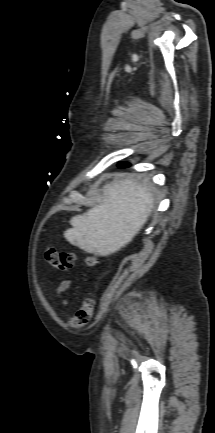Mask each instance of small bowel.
Returning <instances> with one entry per match:
<instances>
[{"instance_id":"small-bowel-1","label":"small bowel","mask_w":215,"mask_h":433,"mask_svg":"<svg viewBox=\"0 0 215 433\" xmlns=\"http://www.w3.org/2000/svg\"><path fill=\"white\" fill-rule=\"evenodd\" d=\"M68 287H69L68 281L62 282L58 287V294H62L63 292H65L68 289ZM62 303H64V301H62Z\"/></svg>"}]
</instances>
